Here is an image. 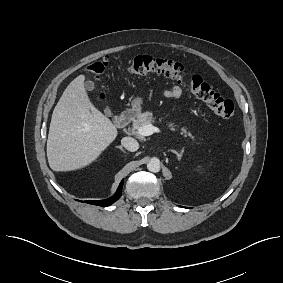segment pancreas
<instances>
[{
    "mask_svg": "<svg viewBox=\"0 0 283 283\" xmlns=\"http://www.w3.org/2000/svg\"><path fill=\"white\" fill-rule=\"evenodd\" d=\"M137 119L134 121L133 123V133L134 134H138V128L148 125V124H152L153 122H155V118L153 117V113L152 112H143V113H138L137 114ZM177 125H175L174 123H169V127L171 130H175L174 127H176ZM181 134L184 137H189L190 139H192L193 141H195V137L191 134L190 131H188V128L186 127H182L181 128Z\"/></svg>",
    "mask_w": 283,
    "mask_h": 283,
    "instance_id": "pancreas-1",
    "label": "pancreas"
}]
</instances>
